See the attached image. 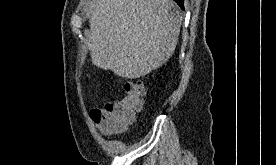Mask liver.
<instances>
[{"label": "liver", "mask_w": 276, "mask_h": 165, "mask_svg": "<svg viewBox=\"0 0 276 165\" xmlns=\"http://www.w3.org/2000/svg\"><path fill=\"white\" fill-rule=\"evenodd\" d=\"M181 22L172 0H97L86 34L92 63L120 77H143L169 60Z\"/></svg>", "instance_id": "liver-1"}]
</instances>
